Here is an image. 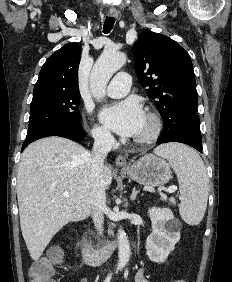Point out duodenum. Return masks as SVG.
<instances>
[{
  "instance_id": "obj_1",
  "label": "duodenum",
  "mask_w": 232,
  "mask_h": 282,
  "mask_svg": "<svg viewBox=\"0 0 232 282\" xmlns=\"http://www.w3.org/2000/svg\"><path fill=\"white\" fill-rule=\"evenodd\" d=\"M118 242L112 241L102 246L94 248L85 238L80 241V249L84 262L90 266H98L104 263L117 247Z\"/></svg>"
}]
</instances>
